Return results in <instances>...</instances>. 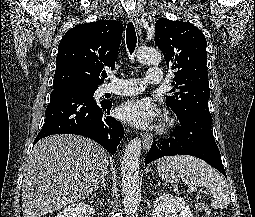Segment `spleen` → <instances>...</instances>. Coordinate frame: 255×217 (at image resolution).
<instances>
[{
    "instance_id": "obj_1",
    "label": "spleen",
    "mask_w": 255,
    "mask_h": 217,
    "mask_svg": "<svg viewBox=\"0 0 255 217\" xmlns=\"http://www.w3.org/2000/svg\"><path fill=\"white\" fill-rule=\"evenodd\" d=\"M160 177L169 182H178L186 177L192 185L206 188L213 196L211 206L223 210L230 202V190L223 176L204 161L192 156L162 158L158 163Z\"/></svg>"
}]
</instances>
